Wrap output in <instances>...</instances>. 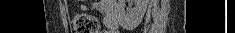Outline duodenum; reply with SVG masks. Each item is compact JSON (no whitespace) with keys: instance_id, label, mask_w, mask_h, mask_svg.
Returning a JSON list of instances; mask_svg holds the SVG:
<instances>
[{"instance_id":"duodenum-1","label":"duodenum","mask_w":235,"mask_h":33,"mask_svg":"<svg viewBox=\"0 0 235 33\" xmlns=\"http://www.w3.org/2000/svg\"><path fill=\"white\" fill-rule=\"evenodd\" d=\"M118 7L114 1L105 2V19L104 23L109 32L114 31L118 27Z\"/></svg>"}]
</instances>
